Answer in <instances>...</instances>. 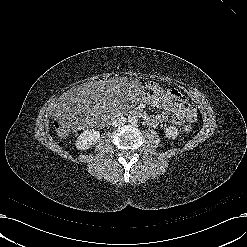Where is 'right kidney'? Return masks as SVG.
<instances>
[{
    "label": "right kidney",
    "instance_id": "obj_1",
    "mask_svg": "<svg viewBox=\"0 0 247 247\" xmlns=\"http://www.w3.org/2000/svg\"><path fill=\"white\" fill-rule=\"evenodd\" d=\"M100 139V133L97 130L89 129L82 132L76 140V148L78 150H87L95 145Z\"/></svg>",
    "mask_w": 247,
    "mask_h": 247
}]
</instances>
